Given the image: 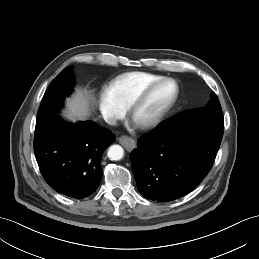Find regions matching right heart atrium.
<instances>
[{"label": "right heart atrium", "instance_id": "d8ad5b80", "mask_svg": "<svg viewBox=\"0 0 259 259\" xmlns=\"http://www.w3.org/2000/svg\"><path fill=\"white\" fill-rule=\"evenodd\" d=\"M98 107L102 117L110 124L125 116V109L120 107L105 91L98 96Z\"/></svg>", "mask_w": 259, "mask_h": 259}]
</instances>
